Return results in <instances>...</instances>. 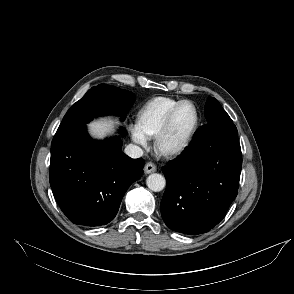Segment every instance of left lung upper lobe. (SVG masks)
Listing matches in <instances>:
<instances>
[{"label":"left lung upper lobe","mask_w":294,"mask_h":294,"mask_svg":"<svg viewBox=\"0 0 294 294\" xmlns=\"http://www.w3.org/2000/svg\"><path fill=\"white\" fill-rule=\"evenodd\" d=\"M205 117L208 123H233L218 100L213 97L206 102Z\"/></svg>","instance_id":"5c2ea615"}]
</instances>
